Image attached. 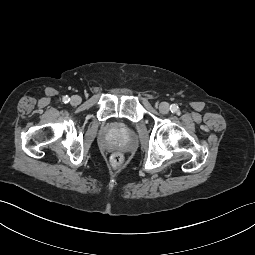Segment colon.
Masks as SVG:
<instances>
[{
  "label": "colon",
  "mask_w": 255,
  "mask_h": 255,
  "mask_svg": "<svg viewBox=\"0 0 255 255\" xmlns=\"http://www.w3.org/2000/svg\"><path fill=\"white\" fill-rule=\"evenodd\" d=\"M123 162H124V158L122 154L120 153L115 152L110 156V164L114 168L121 167Z\"/></svg>",
  "instance_id": "5ec220e1"
}]
</instances>
